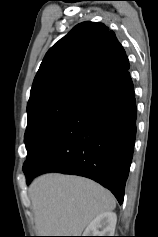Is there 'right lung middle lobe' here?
Returning <instances> with one entry per match:
<instances>
[{
    "label": "right lung middle lobe",
    "instance_id": "dd1d6c3e",
    "mask_svg": "<svg viewBox=\"0 0 158 237\" xmlns=\"http://www.w3.org/2000/svg\"><path fill=\"white\" fill-rule=\"evenodd\" d=\"M84 101L72 97H54L27 107L28 124L24 136L27 159L23 171L28 167L41 143Z\"/></svg>",
    "mask_w": 158,
    "mask_h": 237
}]
</instances>
